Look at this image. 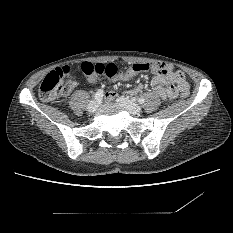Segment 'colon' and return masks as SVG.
Segmentation results:
<instances>
[{
    "label": "colon",
    "instance_id": "obj_1",
    "mask_svg": "<svg viewBox=\"0 0 233 233\" xmlns=\"http://www.w3.org/2000/svg\"><path fill=\"white\" fill-rule=\"evenodd\" d=\"M80 71L90 79H96L97 77L112 78L118 70L113 64H93L90 62H84L79 67ZM160 67L155 62L147 63H134L122 74L125 77H131L140 72H158ZM73 85L72 72L70 68H58L50 72L41 82L39 87V97L44 102L53 101L59 97H65L68 95L69 90ZM189 89L187 86L181 89L180 95L187 97Z\"/></svg>",
    "mask_w": 233,
    "mask_h": 233
}]
</instances>
